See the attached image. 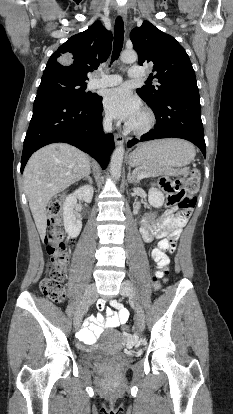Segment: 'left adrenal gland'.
<instances>
[{"instance_id":"left-adrenal-gland-1","label":"left adrenal gland","mask_w":233,"mask_h":414,"mask_svg":"<svg viewBox=\"0 0 233 414\" xmlns=\"http://www.w3.org/2000/svg\"><path fill=\"white\" fill-rule=\"evenodd\" d=\"M128 183H138V180L136 179L135 175L131 173V168L128 167V175H127Z\"/></svg>"}]
</instances>
